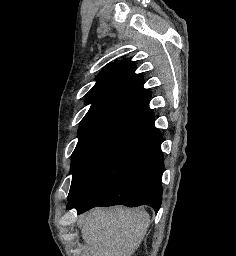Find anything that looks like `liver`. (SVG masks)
<instances>
[{"label":"liver","mask_w":236,"mask_h":256,"mask_svg":"<svg viewBox=\"0 0 236 256\" xmlns=\"http://www.w3.org/2000/svg\"><path fill=\"white\" fill-rule=\"evenodd\" d=\"M149 224L142 208H94L77 218L90 256H133Z\"/></svg>","instance_id":"1"}]
</instances>
